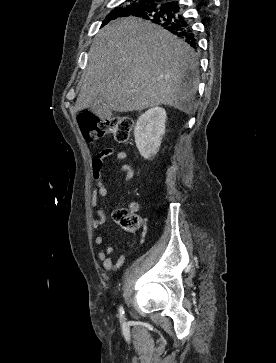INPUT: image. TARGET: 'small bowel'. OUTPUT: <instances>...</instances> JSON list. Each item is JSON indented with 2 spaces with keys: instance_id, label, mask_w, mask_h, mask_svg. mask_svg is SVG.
Returning a JSON list of instances; mask_svg holds the SVG:
<instances>
[{
  "instance_id": "c3829d8e",
  "label": "small bowel",
  "mask_w": 276,
  "mask_h": 363,
  "mask_svg": "<svg viewBox=\"0 0 276 363\" xmlns=\"http://www.w3.org/2000/svg\"><path fill=\"white\" fill-rule=\"evenodd\" d=\"M113 157L115 159L125 161L129 159V154L125 151L117 150L112 147H107L98 152L91 160V170L93 179L95 181V186L93 188L92 193V204L94 207L98 205L99 197L107 196V189L104 185L103 181V168L104 161L107 158ZM119 169L122 173V178L124 180H130L134 176L133 166L127 163H123L119 166ZM139 205L137 203H131L130 210L138 211ZM106 214L105 211L101 208H97V215L92 219L93 228H99L105 221ZM95 243L97 245H102L104 243V238L101 235L95 237ZM114 247L107 246L103 250L98 253V259L102 262L103 267L106 271H112L120 269L124 262L125 256L120 255L116 260H113Z\"/></svg>"
}]
</instances>
